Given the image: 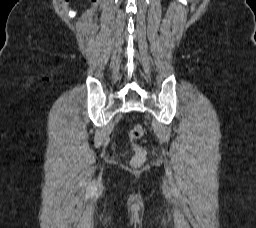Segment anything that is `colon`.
<instances>
[{
  "label": "colon",
  "mask_w": 256,
  "mask_h": 228,
  "mask_svg": "<svg viewBox=\"0 0 256 228\" xmlns=\"http://www.w3.org/2000/svg\"><path fill=\"white\" fill-rule=\"evenodd\" d=\"M144 134L143 126L140 124L135 125L129 132L128 138L134 154L130 160V163L133 167H140L146 160L147 152L146 149L138 145L136 141L140 139Z\"/></svg>",
  "instance_id": "1"
}]
</instances>
